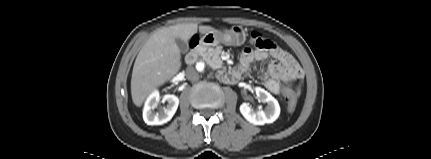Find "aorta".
Masks as SVG:
<instances>
[{
  "mask_svg": "<svg viewBox=\"0 0 431 159\" xmlns=\"http://www.w3.org/2000/svg\"><path fill=\"white\" fill-rule=\"evenodd\" d=\"M197 72L201 74H206L208 72V67L205 62H198L197 63Z\"/></svg>",
  "mask_w": 431,
  "mask_h": 159,
  "instance_id": "1",
  "label": "aorta"
}]
</instances>
